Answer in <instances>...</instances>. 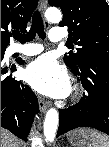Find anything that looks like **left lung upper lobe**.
<instances>
[{"instance_id":"5c2ea615","label":"left lung upper lobe","mask_w":109,"mask_h":147,"mask_svg":"<svg viewBox=\"0 0 109 147\" xmlns=\"http://www.w3.org/2000/svg\"><path fill=\"white\" fill-rule=\"evenodd\" d=\"M60 7L63 19L59 26L69 27L76 52L64 55V62L75 73L82 71L92 56L109 59V5L105 0H48Z\"/></svg>"}]
</instances>
